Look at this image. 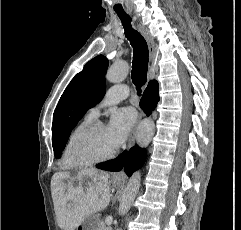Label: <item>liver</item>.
Segmentation results:
<instances>
[{
	"instance_id": "liver-1",
	"label": "liver",
	"mask_w": 241,
	"mask_h": 230,
	"mask_svg": "<svg viewBox=\"0 0 241 230\" xmlns=\"http://www.w3.org/2000/svg\"><path fill=\"white\" fill-rule=\"evenodd\" d=\"M93 177L92 182L83 185V176ZM109 174L96 169H84L76 176L57 172L51 180V192L55 206L57 222L62 230H75L84 219L107 207L110 201ZM72 180L78 186L66 183ZM70 202V203H69Z\"/></svg>"
}]
</instances>
